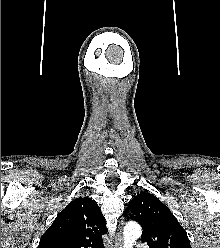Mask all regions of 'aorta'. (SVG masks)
<instances>
[{"mask_svg": "<svg viewBox=\"0 0 220 248\" xmlns=\"http://www.w3.org/2000/svg\"><path fill=\"white\" fill-rule=\"evenodd\" d=\"M142 230L138 223L129 222L124 228V247L133 248L134 242L141 236Z\"/></svg>", "mask_w": 220, "mask_h": 248, "instance_id": "aorta-1", "label": "aorta"}]
</instances>
